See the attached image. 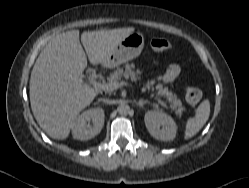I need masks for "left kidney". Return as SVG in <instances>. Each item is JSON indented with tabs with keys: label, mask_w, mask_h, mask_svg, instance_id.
<instances>
[{
	"label": "left kidney",
	"mask_w": 249,
	"mask_h": 188,
	"mask_svg": "<svg viewBox=\"0 0 249 188\" xmlns=\"http://www.w3.org/2000/svg\"><path fill=\"white\" fill-rule=\"evenodd\" d=\"M149 133L162 141L173 140L177 133V126L171 116L162 111H147L144 117ZM162 127V128H160Z\"/></svg>",
	"instance_id": "1"
}]
</instances>
